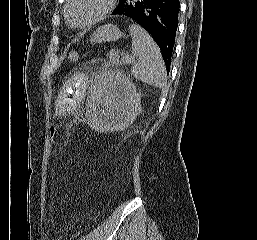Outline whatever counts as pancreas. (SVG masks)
<instances>
[{
	"label": "pancreas",
	"mask_w": 257,
	"mask_h": 240,
	"mask_svg": "<svg viewBox=\"0 0 257 240\" xmlns=\"http://www.w3.org/2000/svg\"><path fill=\"white\" fill-rule=\"evenodd\" d=\"M107 57L109 58V63L112 65H121L122 62L119 60V52H116L115 50H111Z\"/></svg>",
	"instance_id": "1"
}]
</instances>
